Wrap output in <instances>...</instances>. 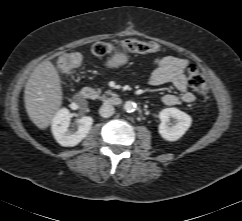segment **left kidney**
I'll return each instance as SVG.
<instances>
[{
	"label": "left kidney",
	"instance_id": "obj_1",
	"mask_svg": "<svg viewBox=\"0 0 242 221\" xmlns=\"http://www.w3.org/2000/svg\"><path fill=\"white\" fill-rule=\"evenodd\" d=\"M170 118L175 120L171 125ZM161 123L158 127L159 134L167 141L180 139L189 129L192 123L191 117L177 108H166L159 113Z\"/></svg>",
	"mask_w": 242,
	"mask_h": 221
}]
</instances>
